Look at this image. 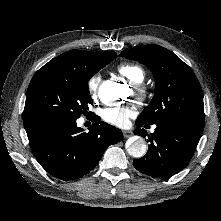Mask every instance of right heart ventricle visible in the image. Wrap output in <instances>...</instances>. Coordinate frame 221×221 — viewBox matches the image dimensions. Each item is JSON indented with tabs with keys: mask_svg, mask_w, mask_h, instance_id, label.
<instances>
[{
	"mask_svg": "<svg viewBox=\"0 0 221 221\" xmlns=\"http://www.w3.org/2000/svg\"><path fill=\"white\" fill-rule=\"evenodd\" d=\"M117 71L132 83H142L145 78V71L138 64L122 63L117 67Z\"/></svg>",
	"mask_w": 221,
	"mask_h": 221,
	"instance_id": "right-heart-ventricle-1",
	"label": "right heart ventricle"
}]
</instances>
